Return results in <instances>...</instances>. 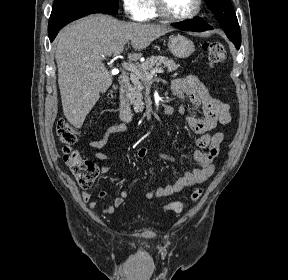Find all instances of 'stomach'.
<instances>
[{"label": "stomach", "instance_id": "obj_1", "mask_svg": "<svg viewBox=\"0 0 288 280\" xmlns=\"http://www.w3.org/2000/svg\"><path fill=\"white\" fill-rule=\"evenodd\" d=\"M168 48L175 57L182 59L189 57L194 52L195 45L190 39L176 35L169 38Z\"/></svg>", "mask_w": 288, "mask_h": 280}]
</instances>
